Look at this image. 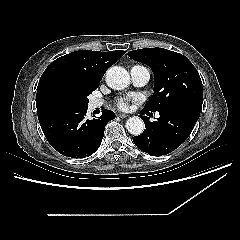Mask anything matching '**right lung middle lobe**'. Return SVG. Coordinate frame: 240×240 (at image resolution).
<instances>
[{"mask_svg": "<svg viewBox=\"0 0 240 240\" xmlns=\"http://www.w3.org/2000/svg\"><path fill=\"white\" fill-rule=\"evenodd\" d=\"M98 86L96 84H76L70 81H61L54 86L52 94L62 107L87 108L89 102L87 97Z\"/></svg>", "mask_w": 240, "mask_h": 240, "instance_id": "dd1d6c3e", "label": "right lung middle lobe"}]
</instances>
